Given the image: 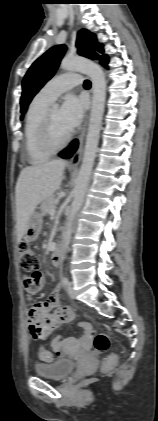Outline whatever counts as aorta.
Masks as SVG:
<instances>
[{
  "label": "aorta",
  "instance_id": "1",
  "mask_svg": "<svg viewBox=\"0 0 158 421\" xmlns=\"http://www.w3.org/2000/svg\"><path fill=\"white\" fill-rule=\"evenodd\" d=\"M60 68L66 71H80L86 74L91 79L93 89L92 109L89 119L85 150L76 180L70 214L67 218V223L63 233V249L66 252L71 240L72 223L84 201L95 159L105 108L106 80L103 70L99 65L81 57L64 58L60 63ZM54 107L57 108L58 105L55 104Z\"/></svg>",
  "mask_w": 158,
  "mask_h": 421
}]
</instances>
